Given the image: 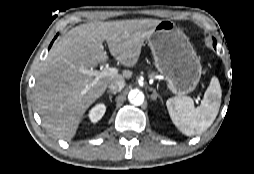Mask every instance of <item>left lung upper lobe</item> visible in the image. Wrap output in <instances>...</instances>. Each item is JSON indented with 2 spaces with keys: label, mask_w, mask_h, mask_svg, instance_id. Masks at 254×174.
<instances>
[{
  "label": "left lung upper lobe",
  "mask_w": 254,
  "mask_h": 174,
  "mask_svg": "<svg viewBox=\"0 0 254 174\" xmlns=\"http://www.w3.org/2000/svg\"><path fill=\"white\" fill-rule=\"evenodd\" d=\"M214 44L216 45V41H215V39H214ZM215 48V47H214Z\"/></svg>",
  "instance_id": "5c2ea615"
}]
</instances>
